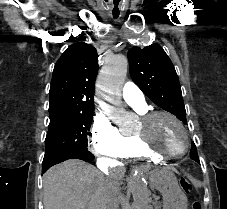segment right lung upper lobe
Returning <instances> with one entry per match:
<instances>
[{"instance_id":"1","label":"right lung upper lobe","mask_w":227,"mask_h":209,"mask_svg":"<svg viewBox=\"0 0 227 209\" xmlns=\"http://www.w3.org/2000/svg\"><path fill=\"white\" fill-rule=\"evenodd\" d=\"M98 72L96 49L83 42L70 45L56 62L50 88V107L63 99L94 100Z\"/></svg>"}]
</instances>
